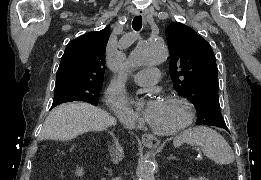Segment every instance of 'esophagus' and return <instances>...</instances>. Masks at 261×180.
<instances>
[{
    "instance_id": "34e87169",
    "label": "esophagus",
    "mask_w": 261,
    "mask_h": 180,
    "mask_svg": "<svg viewBox=\"0 0 261 180\" xmlns=\"http://www.w3.org/2000/svg\"><path fill=\"white\" fill-rule=\"evenodd\" d=\"M135 15H142L143 17H145L146 13L144 12V10H137L135 12ZM142 143H144V145L149 148H156L160 144V140H158V138L154 135H151V133H144L142 135Z\"/></svg>"
}]
</instances>
